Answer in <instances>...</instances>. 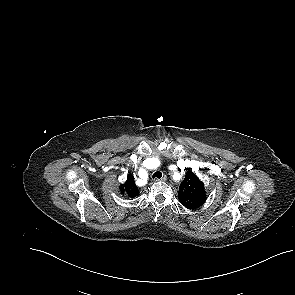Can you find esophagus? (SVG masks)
<instances>
[{
    "instance_id": "34e87169",
    "label": "esophagus",
    "mask_w": 295,
    "mask_h": 295,
    "mask_svg": "<svg viewBox=\"0 0 295 295\" xmlns=\"http://www.w3.org/2000/svg\"><path fill=\"white\" fill-rule=\"evenodd\" d=\"M167 180V178H166V176H163L162 178H160V179H156V181H166Z\"/></svg>"
}]
</instances>
